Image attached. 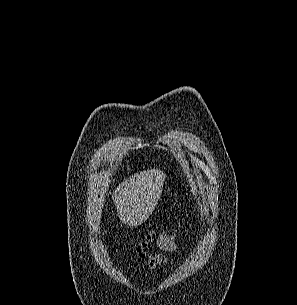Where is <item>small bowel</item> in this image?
Returning a JSON list of instances; mask_svg holds the SVG:
<instances>
[{"label": "small bowel", "instance_id": "small-bowel-1", "mask_svg": "<svg viewBox=\"0 0 297 305\" xmlns=\"http://www.w3.org/2000/svg\"><path fill=\"white\" fill-rule=\"evenodd\" d=\"M156 245L159 252L151 255L148 260V265L152 269H157L166 263L165 253L178 249L176 234L173 231H164L160 233L156 240Z\"/></svg>", "mask_w": 297, "mask_h": 305}]
</instances>
